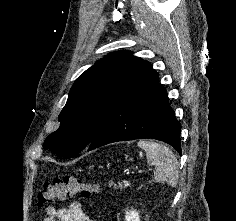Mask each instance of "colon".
Segmentation results:
<instances>
[{"label": "colon", "mask_w": 236, "mask_h": 221, "mask_svg": "<svg viewBox=\"0 0 236 221\" xmlns=\"http://www.w3.org/2000/svg\"><path fill=\"white\" fill-rule=\"evenodd\" d=\"M97 190L96 184L85 183L74 176H64L43 183L38 192L37 202L40 206H44L76 195L89 198Z\"/></svg>", "instance_id": "5ec220e1"}]
</instances>
